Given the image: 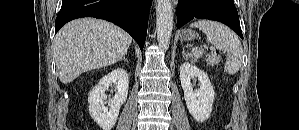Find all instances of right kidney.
I'll return each mask as SVG.
<instances>
[{"label": "right kidney", "instance_id": "right-kidney-1", "mask_svg": "<svg viewBox=\"0 0 299 130\" xmlns=\"http://www.w3.org/2000/svg\"><path fill=\"white\" fill-rule=\"evenodd\" d=\"M114 85L116 92L113 98L108 100L105 90ZM129 88V76L123 68H116L100 79L88 96L89 114L92 119L102 128L111 130L115 125L120 107L126 101Z\"/></svg>", "mask_w": 299, "mask_h": 130}]
</instances>
